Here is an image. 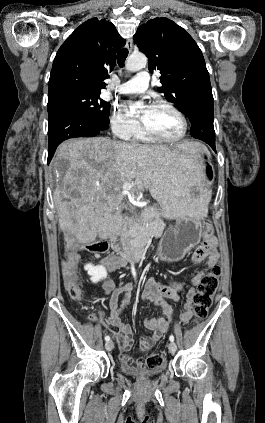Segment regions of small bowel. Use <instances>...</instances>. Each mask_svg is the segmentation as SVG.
<instances>
[{"label": "small bowel", "mask_w": 265, "mask_h": 423, "mask_svg": "<svg viewBox=\"0 0 265 423\" xmlns=\"http://www.w3.org/2000/svg\"><path fill=\"white\" fill-rule=\"evenodd\" d=\"M219 258L216 250V239L211 236L207 244H202L193 253L192 261L199 264L206 260L207 267L215 263ZM102 265L107 273H111L117 268L124 265L120 258L114 254L106 256L102 260ZM206 269L196 274L192 280V287L186 293V302L182 312L179 314L177 320L180 323L188 322L193 315V301L196 295V287L200 285L202 278L205 276ZM102 287L105 293L109 296V310L110 314L107 319V327L120 349V360L123 364L130 367H142L144 362L142 360H133L129 356V351L133 345L132 329L129 324L123 321L122 315L129 304L130 293L133 289L132 284L126 283L115 287L114 282L106 278ZM183 291L182 283L174 280L168 282H161L151 279L145 289L141 293V300L145 303L152 304L160 310L163 316L146 318L144 325L149 331V335L140 339V348L143 352H149L156 342L165 334L169 327V320L173 318L171 307L163 300V298L171 299L175 302H180L181 293ZM123 295L121 303L118 302L119 296ZM168 319H167V318Z\"/></svg>", "instance_id": "small-bowel-1"}]
</instances>
